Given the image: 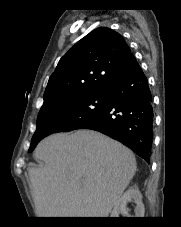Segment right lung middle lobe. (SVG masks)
Listing matches in <instances>:
<instances>
[{
    "label": "right lung middle lobe",
    "instance_id": "obj_1",
    "mask_svg": "<svg viewBox=\"0 0 181 227\" xmlns=\"http://www.w3.org/2000/svg\"><path fill=\"white\" fill-rule=\"evenodd\" d=\"M108 101L109 91L101 90L41 109L29 152H32L36 145L50 134L83 128L102 112Z\"/></svg>",
    "mask_w": 181,
    "mask_h": 227
}]
</instances>
